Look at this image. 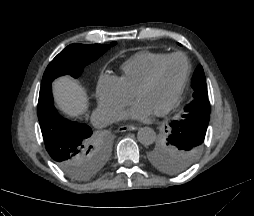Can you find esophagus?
Wrapping results in <instances>:
<instances>
[{
    "instance_id": "34e87169",
    "label": "esophagus",
    "mask_w": 254,
    "mask_h": 216,
    "mask_svg": "<svg viewBox=\"0 0 254 216\" xmlns=\"http://www.w3.org/2000/svg\"><path fill=\"white\" fill-rule=\"evenodd\" d=\"M136 129H138V128L134 125H123L118 128V132L133 131Z\"/></svg>"
}]
</instances>
